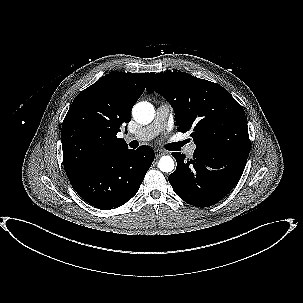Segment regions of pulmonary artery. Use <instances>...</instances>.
I'll return each mask as SVG.
<instances>
[{"instance_id":"e3ab8cb5","label":"pulmonary artery","mask_w":303,"mask_h":303,"mask_svg":"<svg viewBox=\"0 0 303 303\" xmlns=\"http://www.w3.org/2000/svg\"><path fill=\"white\" fill-rule=\"evenodd\" d=\"M169 115L170 106L168 104L160 105L156 110L155 118L152 124L142 128L135 134L127 136V140H136L139 142L151 140L166 127ZM195 150L196 144L192 143L186 146L185 153L191 157L194 155Z\"/></svg>"}]
</instances>
